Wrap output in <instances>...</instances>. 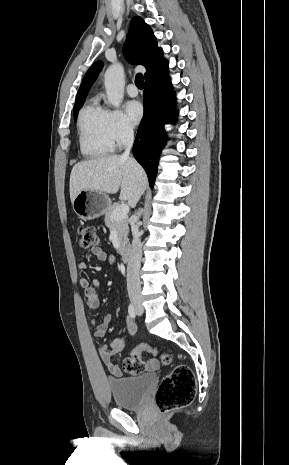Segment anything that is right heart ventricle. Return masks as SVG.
<instances>
[{"instance_id": "obj_1", "label": "right heart ventricle", "mask_w": 289, "mask_h": 465, "mask_svg": "<svg viewBox=\"0 0 289 465\" xmlns=\"http://www.w3.org/2000/svg\"><path fill=\"white\" fill-rule=\"evenodd\" d=\"M108 110L97 98L91 99L77 118L78 140L81 153L88 158H99L113 152L115 143L108 127Z\"/></svg>"}]
</instances>
